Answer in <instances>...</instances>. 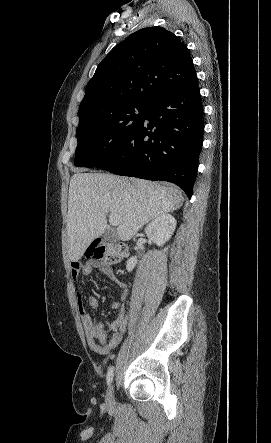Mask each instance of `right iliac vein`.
I'll return each mask as SVG.
<instances>
[{"instance_id": "obj_1", "label": "right iliac vein", "mask_w": 271, "mask_h": 443, "mask_svg": "<svg viewBox=\"0 0 271 443\" xmlns=\"http://www.w3.org/2000/svg\"><path fill=\"white\" fill-rule=\"evenodd\" d=\"M105 404L108 409L114 408L115 400L112 386L107 390Z\"/></svg>"}]
</instances>
